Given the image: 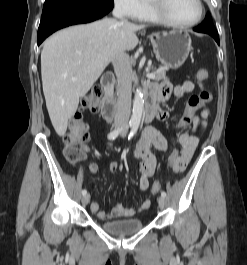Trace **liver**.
Returning <instances> with one entry per match:
<instances>
[{
  "label": "liver",
  "instance_id": "obj_1",
  "mask_svg": "<svg viewBox=\"0 0 247 265\" xmlns=\"http://www.w3.org/2000/svg\"><path fill=\"white\" fill-rule=\"evenodd\" d=\"M145 28L105 18L68 27L49 37L41 52V77L52 125L64 136L79 99L87 94L108 64L138 44L136 32ZM76 78V80H73Z\"/></svg>",
  "mask_w": 247,
  "mask_h": 265
}]
</instances>
